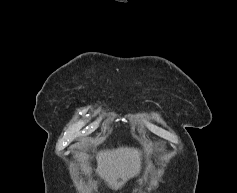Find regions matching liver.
<instances>
[{
    "label": "liver",
    "mask_w": 237,
    "mask_h": 193,
    "mask_svg": "<svg viewBox=\"0 0 237 193\" xmlns=\"http://www.w3.org/2000/svg\"><path fill=\"white\" fill-rule=\"evenodd\" d=\"M80 162L86 160L84 153H77ZM96 173L104 179L112 190H119L130 179L140 172L141 152L135 148L120 147L101 151L97 154ZM121 179V181H119Z\"/></svg>",
    "instance_id": "6515ba94"
}]
</instances>
